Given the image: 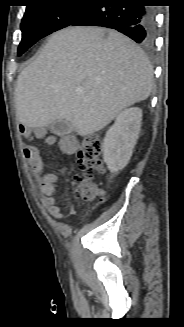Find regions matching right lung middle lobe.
Masks as SVG:
<instances>
[{
	"label": "right lung middle lobe",
	"instance_id": "obj_1",
	"mask_svg": "<svg viewBox=\"0 0 184 327\" xmlns=\"http://www.w3.org/2000/svg\"><path fill=\"white\" fill-rule=\"evenodd\" d=\"M74 1L81 0H48L27 7L21 22L22 40L18 56L39 39L71 25L88 11L95 0H86L90 4Z\"/></svg>",
	"mask_w": 184,
	"mask_h": 327
}]
</instances>
